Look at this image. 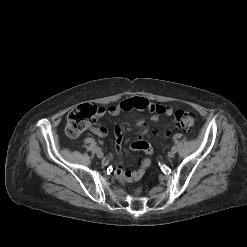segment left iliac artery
Instances as JSON below:
<instances>
[{"label":"left iliac artery","instance_id":"44dca946","mask_svg":"<svg viewBox=\"0 0 247 247\" xmlns=\"http://www.w3.org/2000/svg\"><path fill=\"white\" fill-rule=\"evenodd\" d=\"M172 150H173L174 152H177V147L174 145V146L172 147Z\"/></svg>","mask_w":247,"mask_h":247}]
</instances>
